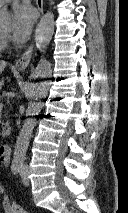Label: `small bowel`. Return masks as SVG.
Returning <instances> with one entry per match:
<instances>
[{
    "mask_svg": "<svg viewBox=\"0 0 128 213\" xmlns=\"http://www.w3.org/2000/svg\"><path fill=\"white\" fill-rule=\"evenodd\" d=\"M0 194L2 195V210H3V213H11L10 209H9L10 199L4 193V189H3V186L1 184H0Z\"/></svg>",
    "mask_w": 128,
    "mask_h": 213,
    "instance_id": "small-bowel-1",
    "label": "small bowel"
}]
</instances>
